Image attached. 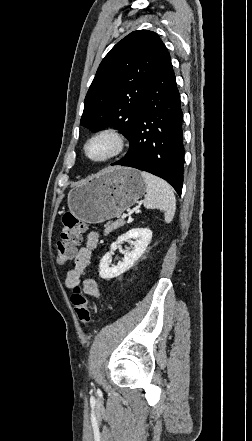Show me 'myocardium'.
I'll use <instances>...</instances> for the list:
<instances>
[{
	"label": "myocardium",
	"instance_id": "f54148a6",
	"mask_svg": "<svg viewBox=\"0 0 252 441\" xmlns=\"http://www.w3.org/2000/svg\"><path fill=\"white\" fill-rule=\"evenodd\" d=\"M98 139H108L111 143H112V148L111 151L100 158H93L90 156L89 151H88V147L89 145L98 140ZM126 148V138L124 136V134L116 129V128H112V127H105L102 129H99L98 131H96L95 133H93L84 143L83 146V152L85 157L93 162V163H108L114 159H116L117 157H119L125 150Z\"/></svg>",
	"mask_w": 252,
	"mask_h": 441
}]
</instances>
